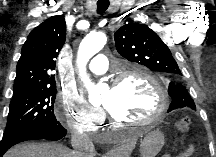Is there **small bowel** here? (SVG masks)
I'll list each match as a JSON object with an SVG mask.
<instances>
[{
	"mask_svg": "<svg viewBox=\"0 0 216 157\" xmlns=\"http://www.w3.org/2000/svg\"><path fill=\"white\" fill-rule=\"evenodd\" d=\"M193 152L194 147L190 145L180 154V157H190L193 154Z\"/></svg>",
	"mask_w": 216,
	"mask_h": 157,
	"instance_id": "small-bowel-1",
	"label": "small bowel"
}]
</instances>
